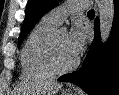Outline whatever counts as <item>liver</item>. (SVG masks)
I'll return each mask as SVG.
<instances>
[{
    "label": "liver",
    "mask_w": 119,
    "mask_h": 95,
    "mask_svg": "<svg viewBox=\"0 0 119 95\" xmlns=\"http://www.w3.org/2000/svg\"><path fill=\"white\" fill-rule=\"evenodd\" d=\"M63 84L56 81H41L33 84L23 83L17 88L15 95L27 93V95H56L62 88Z\"/></svg>",
    "instance_id": "liver-1"
}]
</instances>
